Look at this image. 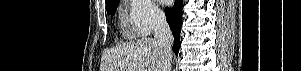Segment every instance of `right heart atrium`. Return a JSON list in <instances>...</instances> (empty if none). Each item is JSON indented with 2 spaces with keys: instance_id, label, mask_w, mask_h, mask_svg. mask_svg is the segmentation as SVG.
<instances>
[{
  "instance_id": "1",
  "label": "right heart atrium",
  "mask_w": 301,
  "mask_h": 71,
  "mask_svg": "<svg viewBox=\"0 0 301 71\" xmlns=\"http://www.w3.org/2000/svg\"><path fill=\"white\" fill-rule=\"evenodd\" d=\"M128 25L138 37H146L163 21L162 12L152 0H128Z\"/></svg>"
}]
</instances>
